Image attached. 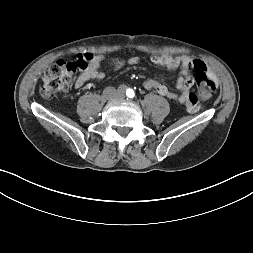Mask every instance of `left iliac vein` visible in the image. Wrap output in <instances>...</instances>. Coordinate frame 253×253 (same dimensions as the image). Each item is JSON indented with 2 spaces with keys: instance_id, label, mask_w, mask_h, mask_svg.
<instances>
[{
  "instance_id": "1",
  "label": "left iliac vein",
  "mask_w": 253,
  "mask_h": 253,
  "mask_svg": "<svg viewBox=\"0 0 253 253\" xmlns=\"http://www.w3.org/2000/svg\"><path fill=\"white\" fill-rule=\"evenodd\" d=\"M117 96H118V97H123V96H124V94H123V93L118 92V93H117Z\"/></svg>"
}]
</instances>
